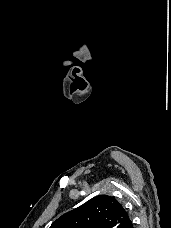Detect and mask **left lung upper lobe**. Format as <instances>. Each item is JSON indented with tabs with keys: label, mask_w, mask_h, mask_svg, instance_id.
Masks as SVG:
<instances>
[{
	"label": "left lung upper lobe",
	"mask_w": 171,
	"mask_h": 228,
	"mask_svg": "<svg viewBox=\"0 0 171 228\" xmlns=\"http://www.w3.org/2000/svg\"><path fill=\"white\" fill-rule=\"evenodd\" d=\"M129 219L114 197L99 195L62 215L50 228H122Z\"/></svg>",
	"instance_id": "left-lung-upper-lobe-1"
}]
</instances>
